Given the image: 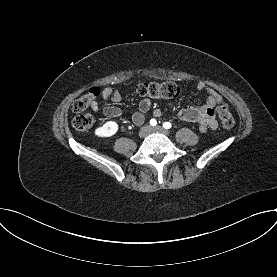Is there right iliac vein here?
<instances>
[{
	"instance_id": "1",
	"label": "right iliac vein",
	"mask_w": 277,
	"mask_h": 277,
	"mask_svg": "<svg viewBox=\"0 0 277 277\" xmlns=\"http://www.w3.org/2000/svg\"><path fill=\"white\" fill-rule=\"evenodd\" d=\"M150 133V127L144 126L139 131V137L144 138Z\"/></svg>"
}]
</instances>
